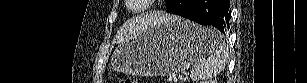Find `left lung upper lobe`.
Segmentation results:
<instances>
[{"label": "left lung upper lobe", "instance_id": "obj_1", "mask_svg": "<svg viewBox=\"0 0 307 83\" xmlns=\"http://www.w3.org/2000/svg\"><path fill=\"white\" fill-rule=\"evenodd\" d=\"M172 2H173V0H166V6H167V8L171 5Z\"/></svg>", "mask_w": 307, "mask_h": 83}]
</instances>
